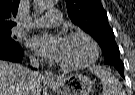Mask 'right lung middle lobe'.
Listing matches in <instances>:
<instances>
[{"label": "right lung middle lobe", "instance_id": "1", "mask_svg": "<svg viewBox=\"0 0 135 95\" xmlns=\"http://www.w3.org/2000/svg\"><path fill=\"white\" fill-rule=\"evenodd\" d=\"M19 45L15 37H11V30H0V49L12 48Z\"/></svg>", "mask_w": 135, "mask_h": 95}]
</instances>
